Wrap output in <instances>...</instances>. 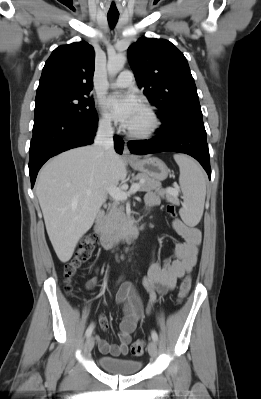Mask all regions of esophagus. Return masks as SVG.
Listing matches in <instances>:
<instances>
[{"label":"esophagus","mask_w":261,"mask_h":399,"mask_svg":"<svg viewBox=\"0 0 261 399\" xmlns=\"http://www.w3.org/2000/svg\"><path fill=\"white\" fill-rule=\"evenodd\" d=\"M123 158L126 159H134L135 157L130 153L129 148L127 146V141H124V148H123Z\"/></svg>","instance_id":"obj_1"}]
</instances>
